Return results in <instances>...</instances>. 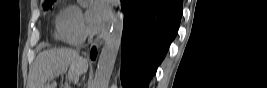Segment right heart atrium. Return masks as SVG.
Wrapping results in <instances>:
<instances>
[{"label":"right heart atrium","mask_w":267,"mask_h":88,"mask_svg":"<svg viewBox=\"0 0 267 88\" xmlns=\"http://www.w3.org/2000/svg\"><path fill=\"white\" fill-rule=\"evenodd\" d=\"M57 34L67 43H81L87 35V26L77 6L64 9L57 18Z\"/></svg>","instance_id":"d8ad5b80"}]
</instances>
